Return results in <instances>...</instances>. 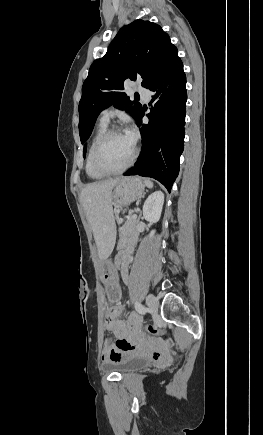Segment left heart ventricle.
I'll list each match as a JSON object with an SVG mask.
<instances>
[{"label": "left heart ventricle", "mask_w": 263, "mask_h": 435, "mask_svg": "<svg viewBox=\"0 0 263 435\" xmlns=\"http://www.w3.org/2000/svg\"><path fill=\"white\" fill-rule=\"evenodd\" d=\"M133 149L125 134L114 135L103 145L99 161L105 168L118 169L126 164Z\"/></svg>", "instance_id": "left-heart-ventricle-1"}]
</instances>
